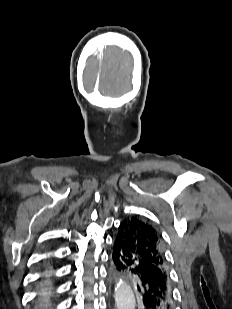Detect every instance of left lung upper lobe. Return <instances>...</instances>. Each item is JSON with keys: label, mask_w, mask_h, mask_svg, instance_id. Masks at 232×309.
I'll return each mask as SVG.
<instances>
[{"label": "left lung upper lobe", "mask_w": 232, "mask_h": 309, "mask_svg": "<svg viewBox=\"0 0 232 309\" xmlns=\"http://www.w3.org/2000/svg\"><path fill=\"white\" fill-rule=\"evenodd\" d=\"M122 223L128 227L139 256L167 272L162 237L157 229L138 216L128 217Z\"/></svg>", "instance_id": "left-lung-upper-lobe-1"}]
</instances>
